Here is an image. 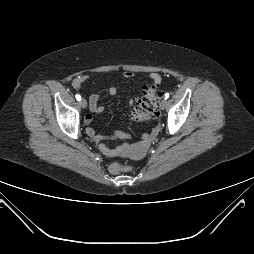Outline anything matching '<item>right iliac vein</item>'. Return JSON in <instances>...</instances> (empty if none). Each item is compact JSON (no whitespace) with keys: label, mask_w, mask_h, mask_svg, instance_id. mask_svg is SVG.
Returning a JSON list of instances; mask_svg holds the SVG:
<instances>
[{"label":"right iliac vein","mask_w":254,"mask_h":254,"mask_svg":"<svg viewBox=\"0 0 254 254\" xmlns=\"http://www.w3.org/2000/svg\"><path fill=\"white\" fill-rule=\"evenodd\" d=\"M80 106H81L82 108H86V107H87V101H86L85 99H81V100H80Z\"/></svg>","instance_id":"1"}]
</instances>
